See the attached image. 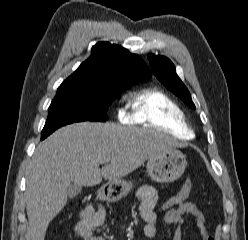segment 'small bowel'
<instances>
[{
	"instance_id": "small-bowel-1",
	"label": "small bowel",
	"mask_w": 248,
	"mask_h": 240,
	"mask_svg": "<svg viewBox=\"0 0 248 240\" xmlns=\"http://www.w3.org/2000/svg\"><path fill=\"white\" fill-rule=\"evenodd\" d=\"M137 199L142 219L145 222L143 234L147 238H152L156 234L157 215L154 209L158 201V193L153 186L143 185L137 191ZM185 215H190L195 219L202 240H214V237L208 232L204 214L191 202H185L176 208L166 211L164 215L165 223L176 225L172 240H183L181 225ZM105 216L106 211L102 206H87L80 213L74 225L73 232L75 238L77 240H106L96 232V228L104 222Z\"/></svg>"
}]
</instances>
